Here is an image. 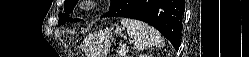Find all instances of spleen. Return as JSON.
<instances>
[{"label":"spleen","mask_w":249,"mask_h":57,"mask_svg":"<svg viewBox=\"0 0 249 57\" xmlns=\"http://www.w3.org/2000/svg\"><path fill=\"white\" fill-rule=\"evenodd\" d=\"M121 24L127 28V33L133 39L134 48L137 50L164 45V39L161 34L145 22L124 18L121 20Z\"/></svg>","instance_id":"3e777b00"}]
</instances>
